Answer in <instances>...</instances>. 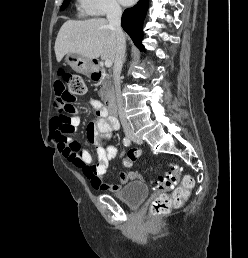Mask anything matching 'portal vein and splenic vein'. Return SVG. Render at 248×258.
Here are the masks:
<instances>
[{
  "instance_id": "portal-vein-and-splenic-vein-1",
  "label": "portal vein and splenic vein",
  "mask_w": 248,
  "mask_h": 258,
  "mask_svg": "<svg viewBox=\"0 0 248 258\" xmlns=\"http://www.w3.org/2000/svg\"><path fill=\"white\" fill-rule=\"evenodd\" d=\"M112 66V61L110 59L105 60V67H111Z\"/></svg>"
}]
</instances>
